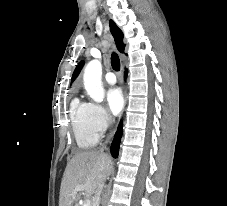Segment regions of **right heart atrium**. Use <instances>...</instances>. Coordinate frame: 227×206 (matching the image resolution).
<instances>
[{
	"instance_id": "right-heart-atrium-1",
	"label": "right heart atrium",
	"mask_w": 227,
	"mask_h": 206,
	"mask_svg": "<svg viewBox=\"0 0 227 206\" xmlns=\"http://www.w3.org/2000/svg\"><path fill=\"white\" fill-rule=\"evenodd\" d=\"M89 116L93 129L98 133H104L111 125V117L99 104L89 103Z\"/></svg>"
}]
</instances>
